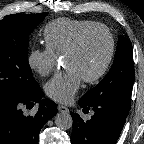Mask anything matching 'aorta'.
Returning a JSON list of instances; mask_svg holds the SVG:
<instances>
[{"label":"aorta","instance_id":"1","mask_svg":"<svg viewBox=\"0 0 144 144\" xmlns=\"http://www.w3.org/2000/svg\"><path fill=\"white\" fill-rule=\"evenodd\" d=\"M55 124L61 130H68L72 127L73 119L69 113L61 112L56 115Z\"/></svg>","mask_w":144,"mask_h":144}]
</instances>
